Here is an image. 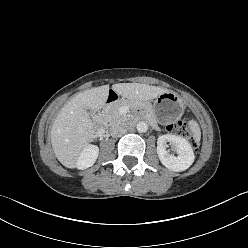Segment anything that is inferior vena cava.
<instances>
[{
	"instance_id": "1",
	"label": "inferior vena cava",
	"mask_w": 248,
	"mask_h": 248,
	"mask_svg": "<svg viewBox=\"0 0 248 248\" xmlns=\"http://www.w3.org/2000/svg\"><path fill=\"white\" fill-rule=\"evenodd\" d=\"M126 132H127V128L121 123H114L110 127V134L113 137H120V136L124 135Z\"/></svg>"
}]
</instances>
